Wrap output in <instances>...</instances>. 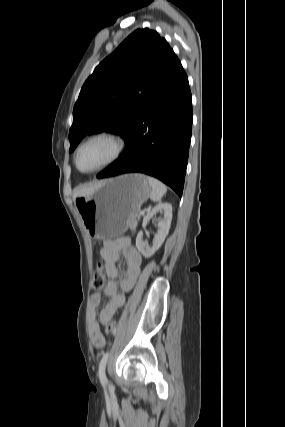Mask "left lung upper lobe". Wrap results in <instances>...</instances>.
<instances>
[{"instance_id":"obj_1","label":"left lung upper lobe","mask_w":285,"mask_h":427,"mask_svg":"<svg viewBox=\"0 0 285 427\" xmlns=\"http://www.w3.org/2000/svg\"><path fill=\"white\" fill-rule=\"evenodd\" d=\"M173 50L148 28L137 29L84 83L69 131L72 152L88 134L111 131L126 141Z\"/></svg>"}]
</instances>
